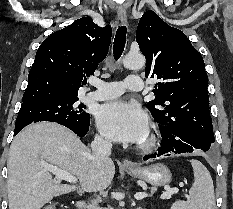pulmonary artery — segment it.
<instances>
[{"instance_id":"obj_1","label":"pulmonary artery","mask_w":233,"mask_h":209,"mask_svg":"<svg viewBox=\"0 0 233 209\" xmlns=\"http://www.w3.org/2000/svg\"><path fill=\"white\" fill-rule=\"evenodd\" d=\"M96 90L86 94L92 100H107L120 96L125 89L129 91H140L143 88V80L138 75L128 76L124 82H105L102 80H92Z\"/></svg>"}]
</instances>
